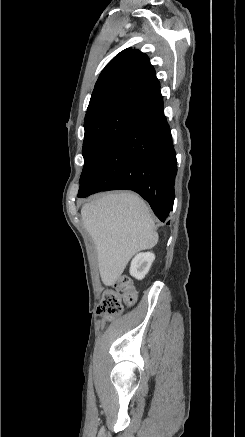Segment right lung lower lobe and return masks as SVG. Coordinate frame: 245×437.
<instances>
[{
    "mask_svg": "<svg viewBox=\"0 0 245 437\" xmlns=\"http://www.w3.org/2000/svg\"><path fill=\"white\" fill-rule=\"evenodd\" d=\"M176 173V153L161 103L142 110L123 128L80 185L78 197L99 191L133 190L162 222L169 224Z\"/></svg>",
    "mask_w": 245,
    "mask_h": 437,
    "instance_id": "obj_1",
    "label": "right lung lower lobe"
}]
</instances>
